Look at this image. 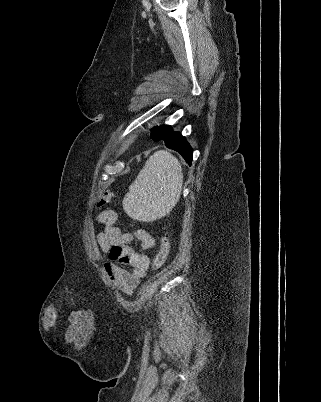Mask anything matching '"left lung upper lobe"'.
Returning a JSON list of instances; mask_svg holds the SVG:
<instances>
[{
    "label": "left lung upper lobe",
    "mask_w": 321,
    "mask_h": 402,
    "mask_svg": "<svg viewBox=\"0 0 321 402\" xmlns=\"http://www.w3.org/2000/svg\"><path fill=\"white\" fill-rule=\"evenodd\" d=\"M157 127H153L152 129H151V138L153 139V140H155V138H156V134H157Z\"/></svg>",
    "instance_id": "1"
}]
</instances>
